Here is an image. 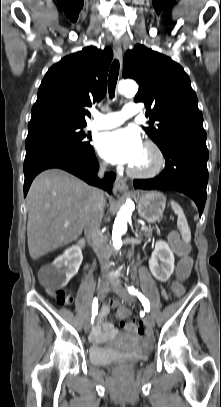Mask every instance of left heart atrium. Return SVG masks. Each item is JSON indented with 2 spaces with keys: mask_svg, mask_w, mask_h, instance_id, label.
Returning <instances> with one entry per match:
<instances>
[{
  "mask_svg": "<svg viewBox=\"0 0 221 407\" xmlns=\"http://www.w3.org/2000/svg\"><path fill=\"white\" fill-rule=\"evenodd\" d=\"M97 148L111 163L132 165L139 157L143 144L135 130L118 129L101 134Z\"/></svg>",
  "mask_w": 221,
  "mask_h": 407,
  "instance_id": "left-heart-atrium-1",
  "label": "left heart atrium"
}]
</instances>
